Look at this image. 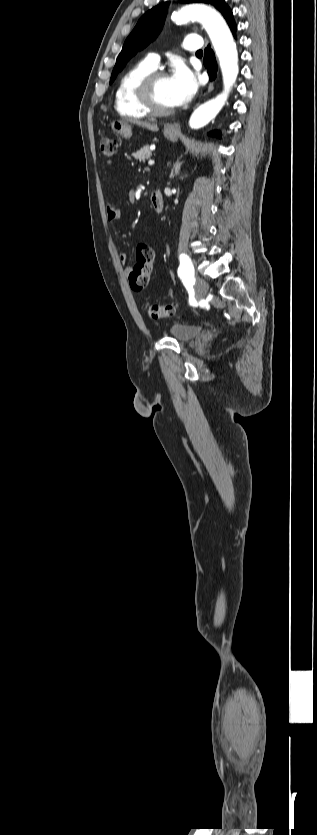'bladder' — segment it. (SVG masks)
<instances>
[{"label":"bladder","mask_w":317,"mask_h":835,"mask_svg":"<svg viewBox=\"0 0 317 835\" xmlns=\"http://www.w3.org/2000/svg\"><path fill=\"white\" fill-rule=\"evenodd\" d=\"M172 338L180 343H187L200 333V327L183 322H173L169 328Z\"/></svg>","instance_id":"bladder-1"}]
</instances>
